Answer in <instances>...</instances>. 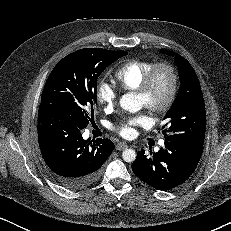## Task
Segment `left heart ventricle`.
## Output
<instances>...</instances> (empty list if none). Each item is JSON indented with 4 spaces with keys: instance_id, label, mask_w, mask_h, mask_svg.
<instances>
[{
    "instance_id": "obj_1",
    "label": "left heart ventricle",
    "mask_w": 231,
    "mask_h": 231,
    "mask_svg": "<svg viewBox=\"0 0 231 231\" xmlns=\"http://www.w3.org/2000/svg\"><path fill=\"white\" fill-rule=\"evenodd\" d=\"M170 88V77L167 71L161 70L157 73L154 85L150 93V100L153 103H162L168 95ZM137 101L139 105L143 106L145 104V99L137 95Z\"/></svg>"
}]
</instances>
